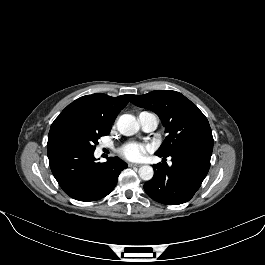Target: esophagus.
<instances>
[{"label": "esophagus", "instance_id": "1", "mask_svg": "<svg viewBox=\"0 0 265 265\" xmlns=\"http://www.w3.org/2000/svg\"><path fill=\"white\" fill-rule=\"evenodd\" d=\"M129 165V167H140L141 165L140 164H134V163H129L128 164Z\"/></svg>", "mask_w": 265, "mask_h": 265}]
</instances>
